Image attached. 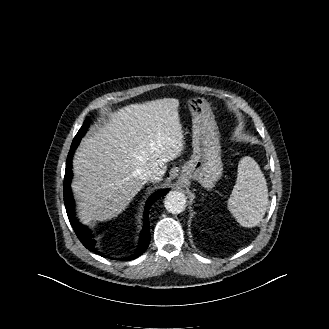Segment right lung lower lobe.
Returning a JSON list of instances; mask_svg holds the SVG:
<instances>
[{"label": "right lung lower lobe", "instance_id": "obj_1", "mask_svg": "<svg viewBox=\"0 0 329 329\" xmlns=\"http://www.w3.org/2000/svg\"><path fill=\"white\" fill-rule=\"evenodd\" d=\"M75 149H76V147L69 151L67 161H66V169H65L64 184H63L65 208H66V212H67L70 224H71L72 228L74 229L77 237L81 241V243L90 251L100 254L97 251V248L95 247L96 242L94 239H92L89 229L86 226L80 224L78 222L77 218L75 217L74 200H73V196H72V192H71V188H70V182H71L72 175H73L72 174V156H73V152ZM168 191H169V189H163L150 196L149 200L146 203V207H145L144 227H143L142 234L140 237L139 247L133 256L124 258L125 261L133 260V259L139 257L147 249L149 242H150L149 217H148L150 206L152 205V203L154 201H156L161 196L165 195Z\"/></svg>", "mask_w": 329, "mask_h": 329}]
</instances>
